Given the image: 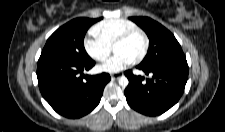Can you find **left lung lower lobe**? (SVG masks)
<instances>
[{
  "mask_svg": "<svg viewBox=\"0 0 225 132\" xmlns=\"http://www.w3.org/2000/svg\"><path fill=\"white\" fill-rule=\"evenodd\" d=\"M148 76L125 75L129 85L124 91L128 104L136 111L156 116L175 105L184 92L188 79L186 60L161 62L150 66H137Z\"/></svg>",
  "mask_w": 225,
  "mask_h": 132,
  "instance_id": "1",
  "label": "left lung lower lobe"
}]
</instances>
